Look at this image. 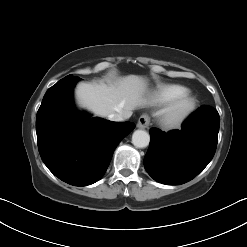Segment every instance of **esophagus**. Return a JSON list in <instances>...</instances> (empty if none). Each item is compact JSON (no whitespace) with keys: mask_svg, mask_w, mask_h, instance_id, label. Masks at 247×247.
I'll return each instance as SVG.
<instances>
[{"mask_svg":"<svg viewBox=\"0 0 247 247\" xmlns=\"http://www.w3.org/2000/svg\"><path fill=\"white\" fill-rule=\"evenodd\" d=\"M149 123H150V118L148 115L144 114V115H141L138 119V122H137V127L139 129H145L149 126Z\"/></svg>","mask_w":247,"mask_h":247,"instance_id":"esophagus-1","label":"esophagus"}]
</instances>
